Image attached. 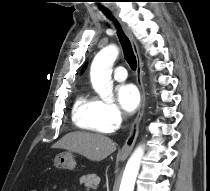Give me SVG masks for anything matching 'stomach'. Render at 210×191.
I'll use <instances>...</instances> for the list:
<instances>
[{
	"instance_id": "0dacf381",
	"label": "stomach",
	"mask_w": 210,
	"mask_h": 191,
	"mask_svg": "<svg viewBox=\"0 0 210 191\" xmlns=\"http://www.w3.org/2000/svg\"><path fill=\"white\" fill-rule=\"evenodd\" d=\"M124 158L122 157L121 160ZM54 166L58 169L72 170L76 166V162L71 152H64L58 154L54 159Z\"/></svg>"
}]
</instances>
